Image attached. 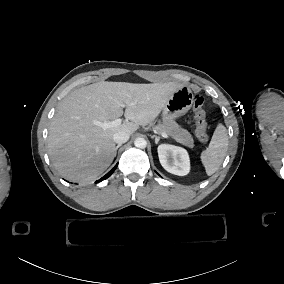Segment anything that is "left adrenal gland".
I'll list each match as a JSON object with an SVG mask.
<instances>
[{"label": "left adrenal gland", "mask_w": 284, "mask_h": 284, "mask_svg": "<svg viewBox=\"0 0 284 284\" xmlns=\"http://www.w3.org/2000/svg\"><path fill=\"white\" fill-rule=\"evenodd\" d=\"M151 138H152V139L155 138V143L158 144V142H159V140H160L161 137H160V136H157V135H152Z\"/></svg>", "instance_id": "a2214340"}]
</instances>
